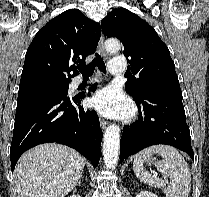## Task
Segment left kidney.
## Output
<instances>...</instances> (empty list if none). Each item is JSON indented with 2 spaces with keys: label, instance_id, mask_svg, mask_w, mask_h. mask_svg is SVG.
<instances>
[{
  "label": "left kidney",
  "instance_id": "left-kidney-1",
  "mask_svg": "<svg viewBox=\"0 0 209 197\" xmlns=\"http://www.w3.org/2000/svg\"><path fill=\"white\" fill-rule=\"evenodd\" d=\"M136 197H158V196L150 191L143 190L139 194H137Z\"/></svg>",
  "mask_w": 209,
  "mask_h": 197
}]
</instances>
